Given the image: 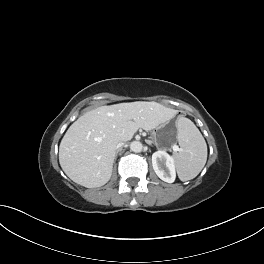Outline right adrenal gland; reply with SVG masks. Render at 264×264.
<instances>
[{
  "label": "right adrenal gland",
  "instance_id": "right-adrenal-gland-1",
  "mask_svg": "<svg viewBox=\"0 0 264 264\" xmlns=\"http://www.w3.org/2000/svg\"><path fill=\"white\" fill-rule=\"evenodd\" d=\"M119 149L116 151V153H115V160L117 159V156H118V153H119Z\"/></svg>",
  "mask_w": 264,
  "mask_h": 264
}]
</instances>
